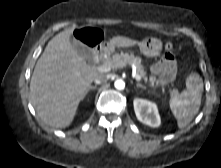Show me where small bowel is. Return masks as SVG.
I'll return each instance as SVG.
<instances>
[{
	"mask_svg": "<svg viewBox=\"0 0 221 168\" xmlns=\"http://www.w3.org/2000/svg\"><path fill=\"white\" fill-rule=\"evenodd\" d=\"M177 57L173 53H166L156 62L151 71L159 78L161 84L173 81L177 75Z\"/></svg>",
	"mask_w": 221,
	"mask_h": 168,
	"instance_id": "c3829d8e",
	"label": "small bowel"
}]
</instances>
